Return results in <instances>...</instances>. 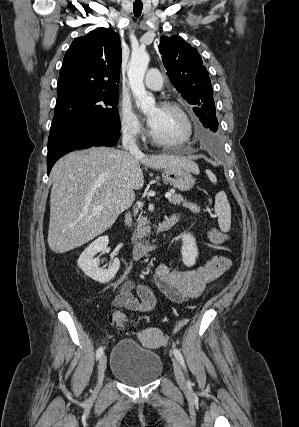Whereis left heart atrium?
I'll list each match as a JSON object with an SVG mask.
<instances>
[{"mask_svg": "<svg viewBox=\"0 0 299 427\" xmlns=\"http://www.w3.org/2000/svg\"><path fill=\"white\" fill-rule=\"evenodd\" d=\"M153 122H154V116L153 115H149L148 116V123H149V125L151 126L153 124Z\"/></svg>", "mask_w": 299, "mask_h": 427, "instance_id": "39dd6f15", "label": "left heart atrium"}]
</instances>
